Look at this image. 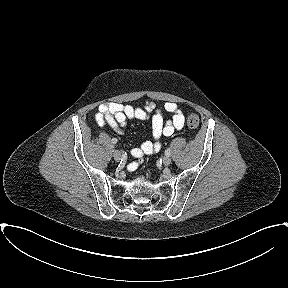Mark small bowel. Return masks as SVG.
I'll use <instances>...</instances> for the list:
<instances>
[{"mask_svg": "<svg viewBox=\"0 0 288 288\" xmlns=\"http://www.w3.org/2000/svg\"><path fill=\"white\" fill-rule=\"evenodd\" d=\"M163 109L172 115L171 119L165 121L161 110L152 101L146 102L142 107L110 102L101 104L94 118L99 126L108 125L120 132L129 119L145 120L151 116L152 140L143 142L131 151L133 157L141 159L161 149L163 136H170L184 126V115L176 103L165 102Z\"/></svg>", "mask_w": 288, "mask_h": 288, "instance_id": "obj_1", "label": "small bowel"}]
</instances>
